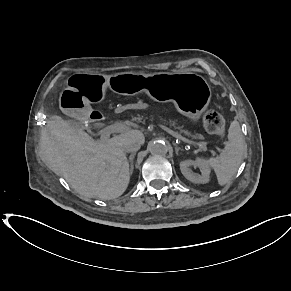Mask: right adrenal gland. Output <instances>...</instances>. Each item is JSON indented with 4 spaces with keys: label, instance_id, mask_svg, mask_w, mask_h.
Masks as SVG:
<instances>
[{
    "label": "right adrenal gland",
    "instance_id": "obj_1",
    "mask_svg": "<svg viewBox=\"0 0 291 291\" xmlns=\"http://www.w3.org/2000/svg\"><path fill=\"white\" fill-rule=\"evenodd\" d=\"M135 152L132 153L130 156H129V162H130V173L132 174L133 173V170H134V165H133V160H134V157H135Z\"/></svg>",
    "mask_w": 291,
    "mask_h": 291
}]
</instances>
